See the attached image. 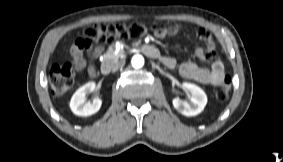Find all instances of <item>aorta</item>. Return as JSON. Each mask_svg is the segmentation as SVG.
<instances>
[{
    "label": "aorta",
    "instance_id": "aorta-1",
    "mask_svg": "<svg viewBox=\"0 0 283 162\" xmlns=\"http://www.w3.org/2000/svg\"><path fill=\"white\" fill-rule=\"evenodd\" d=\"M131 64L134 68H141L144 65V57L140 54L134 55Z\"/></svg>",
    "mask_w": 283,
    "mask_h": 162
}]
</instances>
